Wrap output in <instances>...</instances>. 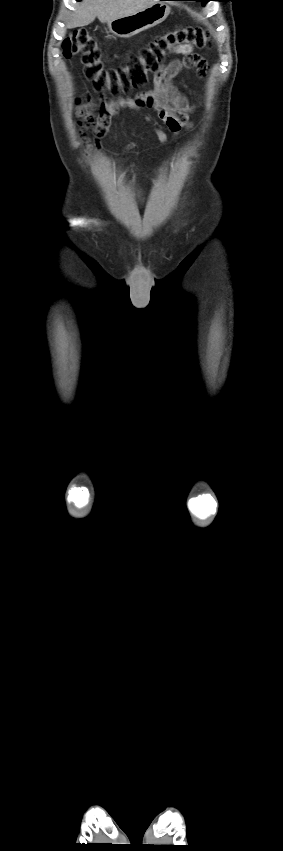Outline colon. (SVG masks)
Returning <instances> with one entry per match:
<instances>
[{
	"mask_svg": "<svg viewBox=\"0 0 283 851\" xmlns=\"http://www.w3.org/2000/svg\"><path fill=\"white\" fill-rule=\"evenodd\" d=\"M210 44L209 34L206 31L177 26L156 35L126 67L113 70L104 68L97 39L86 30L80 29L70 34L63 41L62 50L67 58L81 54L85 76L91 80L96 92L100 93L108 89L116 94L144 85L147 81V73H156L174 48L183 46L204 48L209 47Z\"/></svg>",
	"mask_w": 283,
	"mask_h": 851,
	"instance_id": "colon-1",
	"label": "colon"
}]
</instances>
